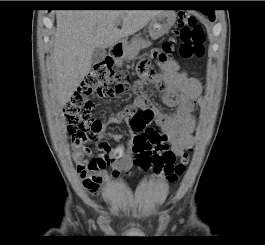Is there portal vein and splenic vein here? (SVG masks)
Instances as JSON below:
<instances>
[{
    "instance_id": "18ae733b",
    "label": "portal vein and splenic vein",
    "mask_w": 265,
    "mask_h": 245,
    "mask_svg": "<svg viewBox=\"0 0 265 245\" xmlns=\"http://www.w3.org/2000/svg\"><path fill=\"white\" fill-rule=\"evenodd\" d=\"M116 24H117V25H121V21H120V20H118Z\"/></svg>"
}]
</instances>
